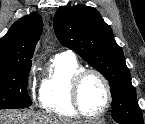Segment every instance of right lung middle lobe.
<instances>
[{"label": "right lung middle lobe", "mask_w": 145, "mask_h": 124, "mask_svg": "<svg viewBox=\"0 0 145 124\" xmlns=\"http://www.w3.org/2000/svg\"><path fill=\"white\" fill-rule=\"evenodd\" d=\"M31 61L0 67V109L29 107L32 101L27 92V78Z\"/></svg>", "instance_id": "1"}]
</instances>
